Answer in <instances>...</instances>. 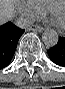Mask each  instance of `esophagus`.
<instances>
[{
    "label": "esophagus",
    "mask_w": 65,
    "mask_h": 89,
    "mask_svg": "<svg viewBox=\"0 0 65 89\" xmlns=\"http://www.w3.org/2000/svg\"><path fill=\"white\" fill-rule=\"evenodd\" d=\"M28 30L42 32L44 28L38 25H33V26H30Z\"/></svg>",
    "instance_id": "34e87169"
}]
</instances>
